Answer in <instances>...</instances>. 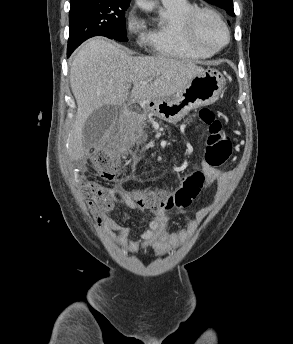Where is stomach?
<instances>
[{"instance_id": "stomach-1", "label": "stomach", "mask_w": 293, "mask_h": 344, "mask_svg": "<svg viewBox=\"0 0 293 344\" xmlns=\"http://www.w3.org/2000/svg\"><path fill=\"white\" fill-rule=\"evenodd\" d=\"M225 79L216 69L208 68L196 75L190 83L173 96L139 102L145 113L177 123L192 109L206 106L218 100Z\"/></svg>"}]
</instances>
